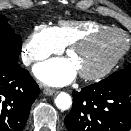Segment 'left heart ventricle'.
<instances>
[{"label":"left heart ventricle","instance_id":"left-heart-ventricle-1","mask_svg":"<svg viewBox=\"0 0 131 131\" xmlns=\"http://www.w3.org/2000/svg\"><path fill=\"white\" fill-rule=\"evenodd\" d=\"M125 43V38L120 34L104 35L90 45L74 51V65L79 72L97 70L120 52Z\"/></svg>","mask_w":131,"mask_h":131}]
</instances>
